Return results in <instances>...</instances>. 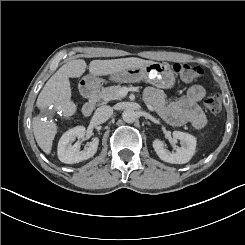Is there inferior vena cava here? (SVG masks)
<instances>
[{
  "label": "inferior vena cava",
  "instance_id": "inferior-vena-cava-1",
  "mask_svg": "<svg viewBox=\"0 0 245 245\" xmlns=\"http://www.w3.org/2000/svg\"><path fill=\"white\" fill-rule=\"evenodd\" d=\"M112 114H113V109L108 105H103L96 109L94 113V118L97 121L105 122L112 116Z\"/></svg>",
  "mask_w": 245,
  "mask_h": 245
}]
</instances>
